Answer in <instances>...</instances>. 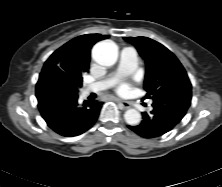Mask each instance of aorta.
Wrapping results in <instances>:
<instances>
[{
	"mask_svg": "<svg viewBox=\"0 0 222 187\" xmlns=\"http://www.w3.org/2000/svg\"><path fill=\"white\" fill-rule=\"evenodd\" d=\"M116 48L108 42H99L92 49V57L96 63L102 66H112L117 60ZM127 124L136 126L141 122V114L136 109H129L124 114Z\"/></svg>",
	"mask_w": 222,
	"mask_h": 187,
	"instance_id": "obj_1",
	"label": "aorta"
}]
</instances>
